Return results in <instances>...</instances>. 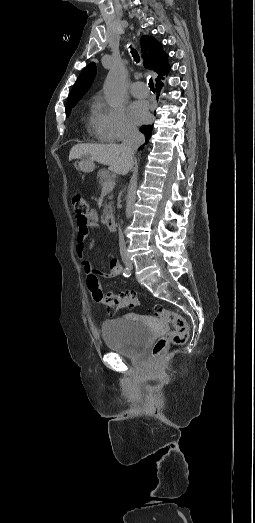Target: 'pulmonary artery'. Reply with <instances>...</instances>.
I'll return each mask as SVG.
<instances>
[{"instance_id": "obj_1", "label": "pulmonary artery", "mask_w": 255, "mask_h": 523, "mask_svg": "<svg viewBox=\"0 0 255 523\" xmlns=\"http://www.w3.org/2000/svg\"><path fill=\"white\" fill-rule=\"evenodd\" d=\"M130 91L135 97H146L149 94V87L144 82H135L131 86Z\"/></svg>"}]
</instances>
